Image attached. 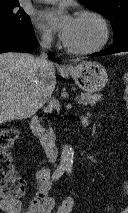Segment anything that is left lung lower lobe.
Here are the masks:
<instances>
[{"instance_id":"left-lung-lower-lobe-1","label":"left lung lower lobe","mask_w":128,"mask_h":213,"mask_svg":"<svg viewBox=\"0 0 128 213\" xmlns=\"http://www.w3.org/2000/svg\"><path fill=\"white\" fill-rule=\"evenodd\" d=\"M128 51V34L122 36L119 40L114 41V44L104 51L94 53L92 56H104L118 52Z\"/></svg>"}]
</instances>
